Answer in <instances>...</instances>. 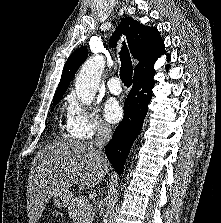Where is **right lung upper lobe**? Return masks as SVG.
<instances>
[{
	"label": "right lung upper lobe",
	"mask_w": 221,
	"mask_h": 223,
	"mask_svg": "<svg viewBox=\"0 0 221 223\" xmlns=\"http://www.w3.org/2000/svg\"><path fill=\"white\" fill-rule=\"evenodd\" d=\"M121 34L126 36L132 56L139 61L135 67L134 76L154 73L155 61L162 54H166L163 50L164 42L157 28L145 27L131 17H125L110 39V47L116 46L117 38ZM87 54V48L80 47L69 56L53 99L62 98L79 66L87 58ZM169 60L170 57H168Z\"/></svg>",
	"instance_id": "1"
}]
</instances>
